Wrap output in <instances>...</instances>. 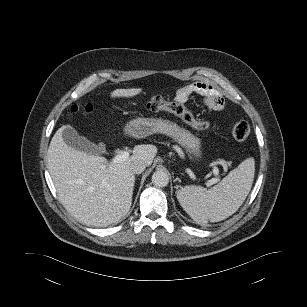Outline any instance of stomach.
Masks as SVG:
<instances>
[{
    "instance_id": "1",
    "label": "stomach",
    "mask_w": 307,
    "mask_h": 307,
    "mask_svg": "<svg viewBox=\"0 0 307 307\" xmlns=\"http://www.w3.org/2000/svg\"><path fill=\"white\" fill-rule=\"evenodd\" d=\"M124 131L136 138L154 133L168 135L186 150L191 159L200 161L203 158L200 139L172 121L153 117L137 118L127 123Z\"/></svg>"
}]
</instances>
